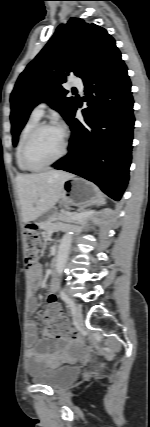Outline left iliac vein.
I'll return each mask as SVG.
<instances>
[{"mask_svg":"<svg viewBox=\"0 0 150 427\" xmlns=\"http://www.w3.org/2000/svg\"><path fill=\"white\" fill-rule=\"evenodd\" d=\"M75 320L78 326H83L84 319L81 309L78 306H75Z\"/></svg>","mask_w":150,"mask_h":427,"instance_id":"obj_1","label":"left iliac vein"}]
</instances>
